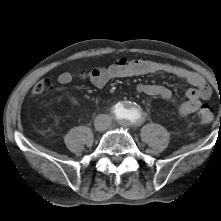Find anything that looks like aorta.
<instances>
[{
	"instance_id": "obj_1",
	"label": "aorta",
	"mask_w": 221,
	"mask_h": 221,
	"mask_svg": "<svg viewBox=\"0 0 221 221\" xmlns=\"http://www.w3.org/2000/svg\"><path fill=\"white\" fill-rule=\"evenodd\" d=\"M122 111H125V112H129V111H137L136 108L130 104H125V105H121L119 111L117 112V117L118 118H123V114L121 113Z\"/></svg>"
}]
</instances>
